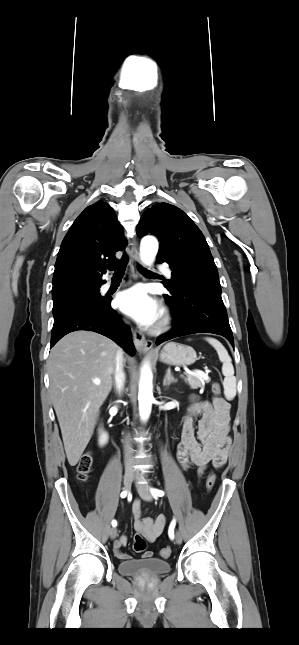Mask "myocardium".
<instances>
[{
  "mask_svg": "<svg viewBox=\"0 0 299 645\" xmlns=\"http://www.w3.org/2000/svg\"><path fill=\"white\" fill-rule=\"evenodd\" d=\"M169 323H170V316L166 312H163L159 317L153 331L161 332L169 326Z\"/></svg>",
  "mask_w": 299,
  "mask_h": 645,
  "instance_id": "1",
  "label": "myocardium"
}]
</instances>
